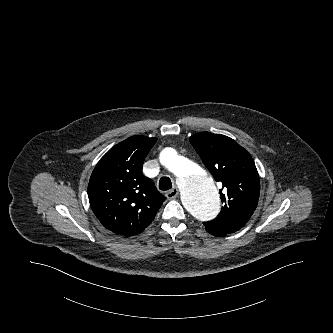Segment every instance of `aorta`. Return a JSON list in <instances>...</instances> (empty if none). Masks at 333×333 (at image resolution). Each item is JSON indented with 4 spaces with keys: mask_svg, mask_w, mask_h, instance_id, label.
Here are the masks:
<instances>
[{
    "mask_svg": "<svg viewBox=\"0 0 333 333\" xmlns=\"http://www.w3.org/2000/svg\"><path fill=\"white\" fill-rule=\"evenodd\" d=\"M160 162L176 175L184 208L197 220L208 221L220 211V197L213 178L192 160L179 156L173 148L160 153Z\"/></svg>",
    "mask_w": 333,
    "mask_h": 333,
    "instance_id": "762f6f07",
    "label": "aorta"
}]
</instances>
